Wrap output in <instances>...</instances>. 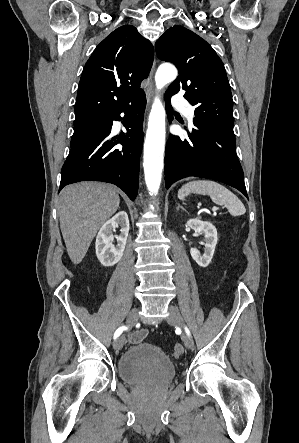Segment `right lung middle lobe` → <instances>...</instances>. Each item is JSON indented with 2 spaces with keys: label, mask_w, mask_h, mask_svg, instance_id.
Segmentation results:
<instances>
[{
  "label": "right lung middle lobe",
  "mask_w": 299,
  "mask_h": 443,
  "mask_svg": "<svg viewBox=\"0 0 299 443\" xmlns=\"http://www.w3.org/2000/svg\"><path fill=\"white\" fill-rule=\"evenodd\" d=\"M103 129L100 117L88 119L79 123H75L74 134L71 140V148L75 147L92 134Z\"/></svg>",
  "instance_id": "dd1d6c3e"
}]
</instances>
